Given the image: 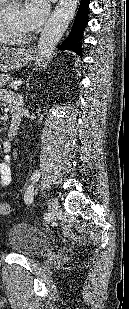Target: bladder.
I'll use <instances>...</instances> for the list:
<instances>
[{
    "label": "bladder",
    "instance_id": "bladder-1",
    "mask_svg": "<svg viewBox=\"0 0 129 309\" xmlns=\"http://www.w3.org/2000/svg\"><path fill=\"white\" fill-rule=\"evenodd\" d=\"M10 247L18 253L29 255L48 243L46 236L36 227L20 223L8 233Z\"/></svg>",
    "mask_w": 129,
    "mask_h": 309
}]
</instances>
